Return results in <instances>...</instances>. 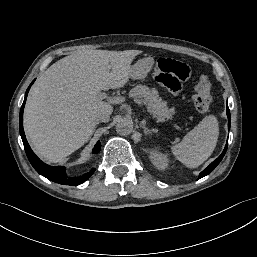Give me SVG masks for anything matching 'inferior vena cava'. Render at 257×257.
<instances>
[{"label": "inferior vena cava", "instance_id": "obj_1", "mask_svg": "<svg viewBox=\"0 0 257 257\" xmlns=\"http://www.w3.org/2000/svg\"><path fill=\"white\" fill-rule=\"evenodd\" d=\"M109 118H110V115L107 114V113H101V114H98L97 117H96V122L99 123V122H108L109 121Z\"/></svg>", "mask_w": 257, "mask_h": 257}]
</instances>
